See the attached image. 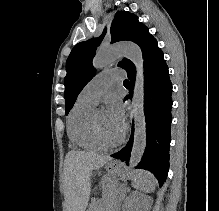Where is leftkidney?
Segmentation results:
<instances>
[{
	"label": "left kidney",
	"instance_id": "1",
	"mask_svg": "<svg viewBox=\"0 0 219 211\" xmlns=\"http://www.w3.org/2000/svg\"><path fill=\"white\" fill-rule=\"evenodd\" d=\"M139 211H143V209H139Z\"/></svg>",
	"mask_w": 219,
	"mask_h": 211
}]
</instances>
